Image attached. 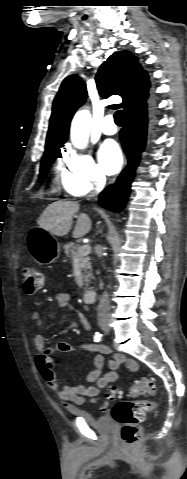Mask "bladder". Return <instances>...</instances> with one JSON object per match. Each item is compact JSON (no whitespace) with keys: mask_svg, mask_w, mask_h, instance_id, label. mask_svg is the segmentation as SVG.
<instances>
[{"mask_svg":"<svg viewBox=\"0 0 187 479\" xmlns=\"http://www.w3.org/2000/svg\"><path fill=\"white\" fill-rule=\"evenodd\" d=\"M73 414L87 420L101 434L109 435V434H112L113 431L115 430V423L113 419L109 417H106V416L94 417L85 410H75L73 411Z\"/></svg>","mask_w":187,"mask_h":479,"instance_id":"bladder-1","label":"bladder"}]
</instances>
